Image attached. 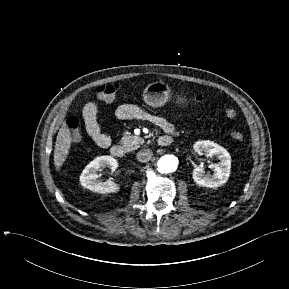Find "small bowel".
<instances>
[{
  "mask_svg": "<svg viewBox=\"0 0 289 289\" xmlns=\"http://www.w3.org/2000/svg\"><path fill=\"white\" fill-rule=\"evenodd\" d=\"M82 115L88 135L99 147L108 148L112 144V139L101 130L97 104L88 102L83 108ZM115 115L121 120L139 119L150 121L161 128L165 132L164 136L169 138L174 132V126L168 120L152 115L136 104L119 105L115 110Z\"/></svg>",
  "mask_w": 289,
  "mask_h": 289,
  "instance_id": "obj_1",
  "label": "small bowel"
}]
</instances>
